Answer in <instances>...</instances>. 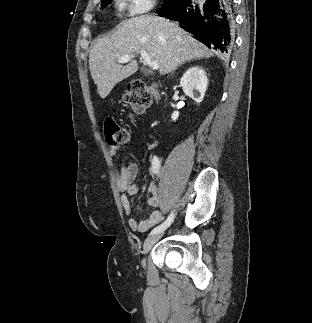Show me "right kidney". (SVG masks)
<instances>
[{
	"label": "right kidney",
	"mask_w": 312,
	"mask_h": 323,
	"mask_svg": "<svg viewBox=\"0 0 312 323\" xmlns=\"http://www.w3.org/2000/svg\"><path fill=\"white\" fill-rule=\"evenodd\" d=\"M208 80L206 76V72H204L201 66H192L189 70H186L184 76H182L180 80V86L189 98L195 100L197 104L202 102L206 88H207ZM173 122L179 118V112H173L171 116Z\"/></svg>",
	"instance_id": "right-kidney-1"
}]
</instances>
